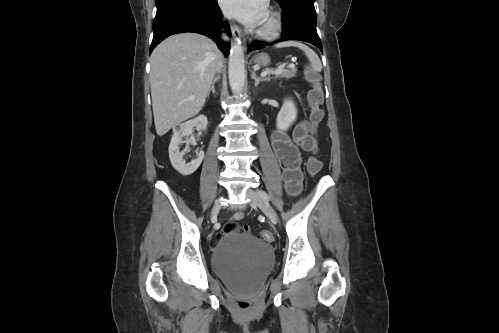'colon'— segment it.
<instances>
[{"label": "colon", "mask_w": 499, "mask_h": 333, "mask_svg": "<svg viewBox=\"0 0 499 333\" xmlns=\"http://www.w3.org/2000/svg\"><path fill=\"white\" fill-rule=\"evenodd\" d=\"M306 79L312 85L307 95L308 102L311 107L310 122L312 126L317 129L323 119V111L320 108L323 103V91L320 84V77L315 71L309 69L306 71ZM306 169L309 174L316 175L322 169V163L318 158L311 156L306 161ZM240 232L249 233V226H241L235 222H229L225 225L223 231L218 235V239L223 238L227 234ZM260 238L266 242H271L273 240L272 234L267 230L261 231ZM249 305L248 301L243 300L239 302V306L242 309H247Z\"/></svg>", "instance_id": "colon-1"}]
</instances>
